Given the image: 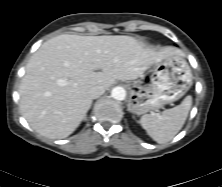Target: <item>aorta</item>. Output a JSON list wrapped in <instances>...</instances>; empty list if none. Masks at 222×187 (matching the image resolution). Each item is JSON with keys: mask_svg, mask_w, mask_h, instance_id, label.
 <instances>
[{"mask_svg": "<svg viewBox=\"0 0 222 187\" xmlns=\"http://www.w3.org/2000/svg\"><path fill=\"white\" fill-rule=\"evenodd\" d=\"M111 97L116 100H124L126 97V91L123 87H115L111 91Z\"/></svg>", "mask_w": 222, "mask_h": 187, "instance_id": "obj_1", "label": "aorta"}]
</instances>
